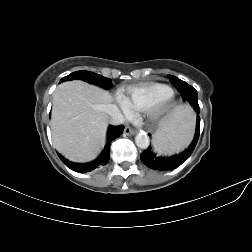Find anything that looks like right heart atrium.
I'll use <instances>...</instances> for the list:
<instances>
[{"label":"right heart atrium","mask_w":252,"mask_h":252,"mask_svg":"<svg viewBox=\"0 0 252 252\" xmlns=\"http://www.w3.org/2000/svg\"><path fill=\"white\" fill-rule=\"evenodd\" d=\"M118 105L121 110V113L125 117H129L132 114V111L130 110L129 105L124 98L119 97Z\"/></svg>","instance_id":"d8ad5b80"}]
</instances>
